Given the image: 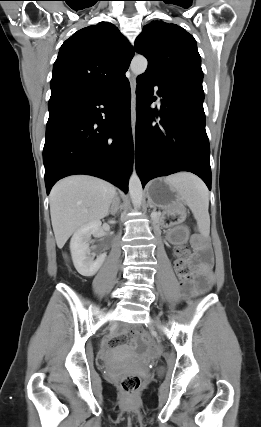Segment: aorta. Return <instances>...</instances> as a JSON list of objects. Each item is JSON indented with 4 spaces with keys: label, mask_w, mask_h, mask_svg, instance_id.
<instances>
[{
    "label": "aorta",
    "mask_w": 261,
    "mask_h": 427,
    "mask_svg": "<svg viewBox=\"0 0 261 427\" xmlns=\"http://www.w3.org/2000/svg\"><path fill=\"white\" fill-rule=\"evenodd\" d=\"M147 65V59L142 55H137L132 59L130 68L132 73L137 77L146 71ZM129 193L133 206L135 208H140L143 200V189L141 180L135 169L129 179Z\"/></svg>",
    "instance_id": "obj_1"
}]
</instances>
